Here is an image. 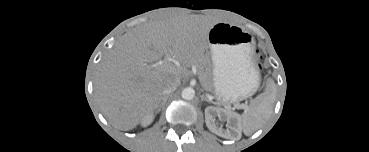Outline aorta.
I'll return each mask as SVG.
<instances>
[{
    "label": "aorta",
    "mask_w": 369,
    "mask_h": 152,
    "mask_svg": "<svg viewBox=\"0 0 369 152\" xmlns=\"http://www.w3.org/2000/svg\"><path fill=\"white\" fill-rule=\"evenodd\" d=\"M181 96L185 100H191L195 96V90L191 87H186L182 90Z\"/></svg>",
    "instance_id": "1"
}]
</instances>
